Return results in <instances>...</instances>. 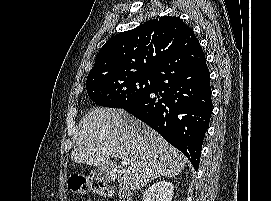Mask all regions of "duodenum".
Listing matches in <instances>:
<instances>
[{
    "instance_id": "1",
    "label": "duodenum",
    "mask_w": 271,
    "mask_h": 201,
    "mask_svg": "<svg viewBox=\"0 0 271 201\" xmlns=\"http://www.w3.org/2000/svg\"><path fill=\"white\" fill-rule=\"evenodd\" d=\"M118 201H132V193L128 187L120 186L118 188Z\"/></svg>"
}]
</instances>
